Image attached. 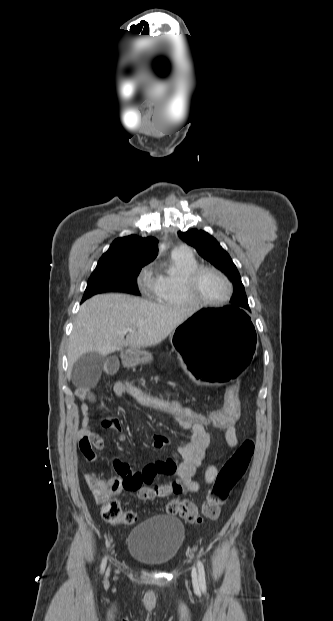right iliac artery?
<instances>
[{
	"instance_id": "1",
	"label": "right iliac artery",
	"mask_w": 333,
	"mask_h": 621,
	"mask_svg": "<svg viewBox=\"0 0 333 621\" xmlns=\"http://www.w3.org/2000/svg\"><path fill=\"white\" fill-rule=\"evenodd\" d=\"M106 558L103 559L102 564H101V573L104 571L105 566H106Z\"/></svg>"
}]
</instances>
